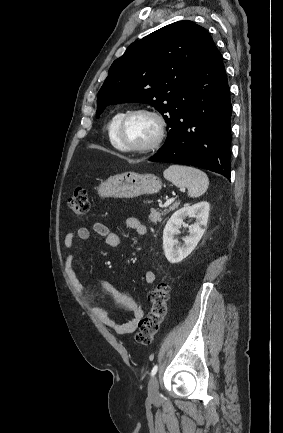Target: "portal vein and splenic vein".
<instances>
[{
    "instance_id": "18ae733b",
    "label": "portal vein and splenic vein",
    "mask_w": 283,
    "mask_h": 433,
    "mask_svg": "<svg viewBox=\"0 0 283 433\" xmlns=\"http://www.w3.org/2000/svg\"><path fill=\"white\" fill-rule=\"evenodd\" d=\"M167 202H173V200L170 198V200H166L165 204H160V206H168Z\"/></svg>"
}]
</instances>
